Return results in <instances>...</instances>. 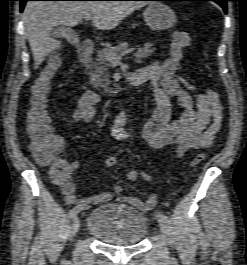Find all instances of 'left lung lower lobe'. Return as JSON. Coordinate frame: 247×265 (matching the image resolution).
Returning a JSON list of instances; mask_svg holds the SVG:
<instances>
[{"label": "left lung lower lobe", "instance_id": "obj_1", "mask_svg": "<svg viewBox=\"0 0 247 265\" xmlns=\"http://www.w3.org/2000/svg\"><path fill=\"white\" fill-rule=\"evenodd\" d=\"M156 1H214L223 8L225 13H227V1L230 0H156Z\"/></svg>", "mask_w": 247, "mask_h": 265}]
</instances>
